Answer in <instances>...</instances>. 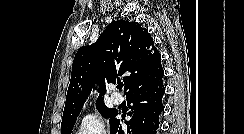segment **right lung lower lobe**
<instances>
[{"label": "right lung lower lobe", "mask_w": 244, "mask_h": 134, "mask_svg": "<svg viewBox=\"0 0 244 134\" xmlns=\"http://www.w3.org/2000/svg\"><path fill=\"white\" fill-rule=\"evenodd\" d=\"M163 75L143 86H140L127 96L132 103L128 115L130 121L125 122L127 129H122V121L114 118L110 123V134H156L159 127V115L163 111L162 97L165 88Z\"/></svg>", "instance_id": "right-lung-lower-lobe-1"}]
</instances>
